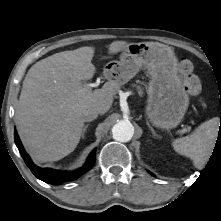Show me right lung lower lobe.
<instances>
[{"instance_id": "98d812e1", "label": "right lung lower lobe", "mask_w": 221, "mask_h": 221, "mask_svg": "<svg viewBox=\"0 0 221 221\" xmlns=\"http://www.w3.org/2000/svg\"><path fill=\"white\" fill-rule=\"evenodd\" d=\"M14 140L15 144L24 159L26 165L29 167V169L32 171V173L40 180L53 184V185H58L61 184L65 181H72L74 179H77L80 177L83 173L88 171L94 164L95 162V150L91 152L89 155L86 164L81 167L80 169L73 171V172H60L58 170H53L49 168H40L37 167L36 165L33 164L32 160L28 156V154L25 152L21 141L19 139V136L17 132H14Z\"/></svg>"}]
</instances>
